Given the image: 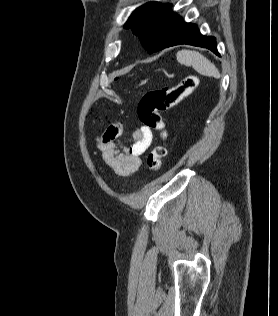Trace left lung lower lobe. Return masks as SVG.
Segmentation results:
<instances>
[{"label":"left lung lower lobe","mask_w":278,"mask_h":316,"mask_svg":"<svg viewBox=\"0 0 278 316\" xmlns=\"http://www.w3.org/2000/svg\"><path fill=\"white\" fill-rule=\"evenodd\" d=\"M180 44H189L210 49L213 53L220 56L217 51L216 40L211 36H203L195 24L181 21L176 33L164 48Z\"/></svg>","instance_id":"obj_1"}]
</instances>
